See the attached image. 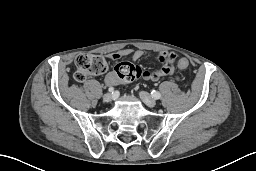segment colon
I'll use <instances>...</instances> for the list:
<instances>
[{
  "label": "colon",
  "instance_id": "colon-1",
  "mask_svg": "<svg viewBox=\"0 0 256 171\" xmlns=\"http://www.w3.org/2000/svg\"><path fill=\"white\" fill-rule=\"evenodd\" d=\"M167 63L170 65L177 64L178 67H183L185 61L176 60L175 57L170 56L167 58ZM75 79L82 82L88 75H99L107 71L108 65L104 57L93 54H81L75 59ZM117 77L125 82L134 81L143 75V70L130 62H122L115 68Z\"/></svg>",
  "mask_w": 256,
  "mask_h": 171
}]
</instances>
